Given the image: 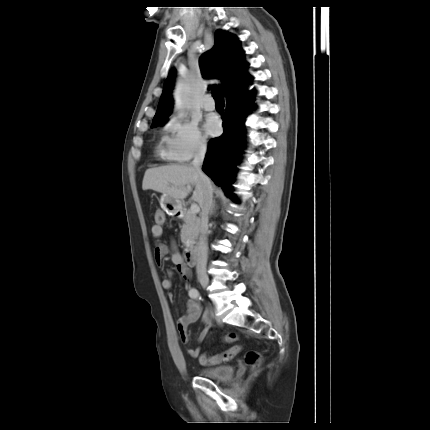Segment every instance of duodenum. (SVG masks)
I'll return each mask as SVG.
<instances>
[{"label":"duodenum","mask_w":430,"mask_h":430,"mask_svg":"<svg viewBox=\"0 0 430 430\" xmlns=\"http://www.w3.org/2000/svg\"><path fill=\"white\" fill-rule=\"evenodd\" d=\"M184 258L188 266L192 267L196 264V248L194 244H189L185 248Z\"/></svg>","instance_id":"410a0bca"}]
</instances>
